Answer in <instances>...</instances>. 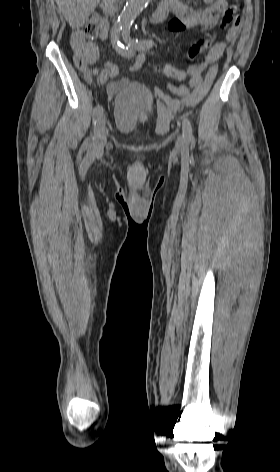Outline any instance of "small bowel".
<instances>
[{"instance_id":"small-bowel-1","label":"small bowel","mask_w":280,"mask_h":472,"mask_svg":"<svg viewBox=\"0 0 280 472\" xmlns=\"http://www.w3.org/2000/svg\"><path fill=\"white\" fill-rule=\"evenodd\" d=\"M208 6L203 9H194L184 4L180 0H163L169 13L174 15V18L169 22V29L172 32H182L186 29L202 28L209 29L214 27L224 15L227 10V0H204ZM239 26L231 27L226 34V41H232L238 34ZM100 38L102 40L107 38L108 25L106 22H100ZM213 35L210 36L208 44L202 49L205 50L211 42ZM72 48L75 52V57H79L85 63L82 69L84 72V79L92 84L93 77L98 74L97 69L91 66L97 61L99 56L98 47L95 42L87 40L84 35L79 32L73 33L71 37ZM226 48V42L221 41L214 44L204 61L198 64L189 65L186 69V74L189 77L187 85L175 86L168 85V89L178 98L169 96L159 88H155L154 93L157 97V110L160 117V122L163 126L169 124L176 113L183 107H193L197 105L208 93L211 85L217 75V62L222 57ZM146 61L144 54L135 56L134 63L130 70L136 71L140 69ZM109 74L115 76L117 68L107 63L105 69ZM206 70V73L203 72ZM127 84V80L112 81L106 86V94L112 98L119 89Z\"/></svg>"}]
</instances>
